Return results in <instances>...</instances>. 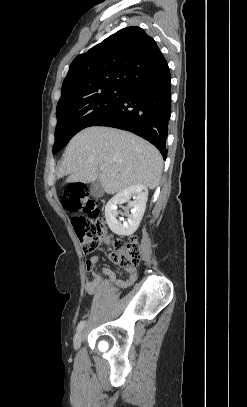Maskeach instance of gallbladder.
Segmentation results:
<instances>
[{
  "mask_svg": "<svg viewBox=\"0 0 247 407\" xmlns=\"http://www.w3.org/2000/svg\"><path fill=\"white\" fill-rule=\"evenodd\" d=\"M90 191H91V194L96 198L103 196L104 191H103V188H102V185H101L99 179L92 182V184L90 186Z\"/></svg>",
  "mask_w": 247,
  "mask_h": 407,
  "instance_id": "obj_1",
  "label": "gallbladder"
}]
</instances>
